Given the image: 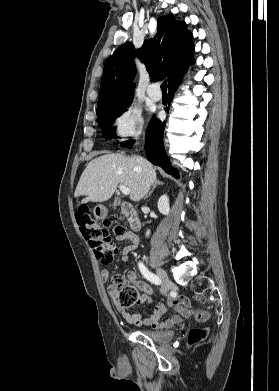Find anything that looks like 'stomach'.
<instances>
[{
    "label": "stomach",
    "instance_id": "0dacf381",
    "mask_svg": "<svg viewBox=\"0 0 279 391\" xmlns=\"http://www.w3.org/2000/svg\"><path fill=\"white\" fill-rule=\"evenodd\" d=\"M93 213L96 218H104L107 214V209L103 205H98L94 208Z\"/></svg>",
    "mask_w": 279,
    "mask_h": 391
}]
</instances>
